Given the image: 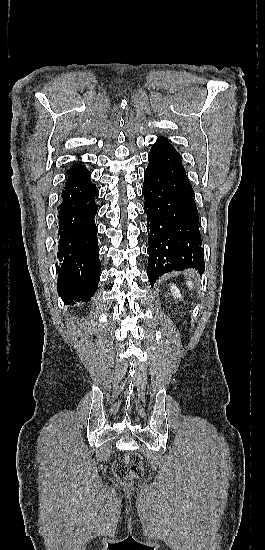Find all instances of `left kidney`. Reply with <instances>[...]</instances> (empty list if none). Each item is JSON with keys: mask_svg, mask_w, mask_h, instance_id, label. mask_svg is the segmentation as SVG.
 <instances>
[{"mask_svg": "<svg viewBox=\"0 0 265 550\" xmlns=\"http://www.w3.org/2000/svg\"><path fill=\"white\" fill-rule=\"evenodd\" d=\"M171 294L173 295V297L176 299H180L181 298V294H180V291L179 289L176 287V285H171Z\"/></svg>", "mask_w": 265, "mask_h": 550, "instance_id": "5707ae66", "label": "left kidney"}]
</instances>
